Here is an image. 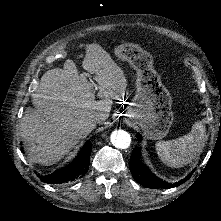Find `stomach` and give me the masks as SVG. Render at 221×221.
Wrapping results in <instances>:
<instances>
[{
	"instance_id": "1",
	"label": "stomach",
	"mask_w": 221,
	"mask_h": 221,
	"mask_svg": "<svg viewBox=\"0 0 221 221\" xmlns=\"http://www.w3.org/2000/svg\"><path fill=\"white\" fill-rule=\"evenodd\" d=\"M115 52L135 71L136 90L126 119L139 126L147 138L163 139L174 122L172 96L154 71V58L143 48L128 43L116 47Z\"/></svg>"
}]
</instances>
